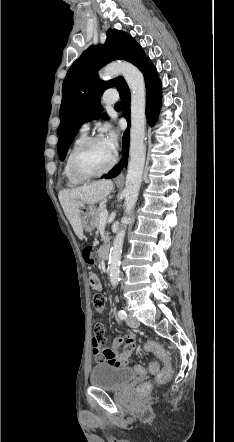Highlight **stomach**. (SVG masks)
I'll use <instances>...</instances> for the list:
<instances>
[{
  "mask_svg": "<svg viewBox=\"0 0 234 442\" xmlns=\"http://www.w3.org/2000/svg\"><path fill=\"white\" fill-rule=\"evenodd\" d=\"M96 208L92 204H85L80 207L81 224L85 231L92 232L95 228V216Z\"/></svg>",
  "mask_w": 234,
  "mask_h": 442,
  "instance_id": "1",
  "label": "stomach"
}]
</instances>
